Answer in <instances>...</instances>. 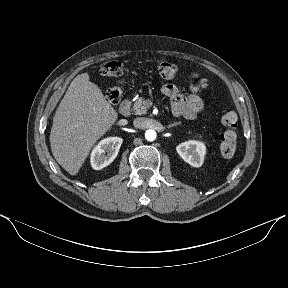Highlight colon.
Here are the masks:
<instances>
[{
	"label": "colon",
	"instance_id": "colon-1",
	"mask_svg": "<svg viewBox=\"0 0 288 288\" xmlns=\"http://www.w3.org/2000/svg\"><path fill=\"white\" fill-rule=\"evenodd\" d=\"M158 75L163 79H173L176 75L177 68L174 64L169 62H162L157 67ZM101 73L107 77H121L123 74L122 64L118 61L106 62L102 68ZM207 86L205 79H199L195 86L197 90L203 89ZM122 94L120 85L111 87L107 90L108 100L116 104ZM222 124L225 128L221 137L220 152L223 157L231 158L236 152V133L235 129L238 125V116L234 110H228L222 117Z\"/></svg>",
	"mask_w": 288,
	"mask_h": 288
}]
</instances>
